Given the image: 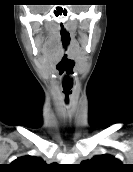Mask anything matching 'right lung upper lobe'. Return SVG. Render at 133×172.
<instances>
[{
    "mask_svg": "<svg viewBox=\"0 0 133 172\" xmlns=\"http://www.w3.org/2000/svg\"><path fill=\"white\" fill-rule=\"evenodd\" d=\"M8 168L14 172H42L46 169V163L40 157L23 156L14 160Z\"/></svg>",
    "mask_w": 133,
    "mask_h": 172,
    "instance_id": "1",
    "label": "right lung upper lobe"
}]
</instances>
